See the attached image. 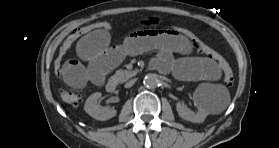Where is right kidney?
Wrapping results in <instances>:
<instances>
[{"label": "right kidney", "mask_w": 279, "mask_h": 148, "mask_svg": "<svg viewBox=\"0 0 279 148\" xmlns=\"http://www.w3.org/2000/svg\"><path fill=\"white\" fill-rule=\"evenodd\" d=\"M101 96V92L91 94L85 102L84 110L92 118L105 121L116 116L117 111L113 108L98 106L96 102Z\"/></svg>", "instance_id": "right-kidney-1"}]
</instances>
